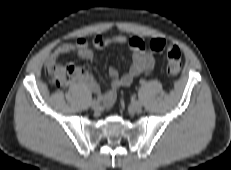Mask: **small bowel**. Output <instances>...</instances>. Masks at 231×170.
<instances>
[{"instance_id":"obj_1","label":"small bowel","mask_w":231,"mask_h":170,"mask_svg":"<svg viewBox=\"0 0 231 170\" xmlns=\"http://www.w3.org/2000/svg\"><path fill=\"white\" fill-rule=\"evenodd\" d=\"M112 44L126 46L130 52L132 63L125 73L119 74L116 68H109L110 84L106 90H103L95 78L87 72H84L81 77L76 79L77 82L83 84L91 92L101 96L106 106H111L115 101L116 90L119 87L131 85L137 76L152 70L155 66V57L152 52L146 49L145 42L141 38H127L123 35L111 37L96 35L92 40V47H90L87 40L80 37L74 44L65 43L58 46L47 57L46 66L55 64L65 54H71L84 60L96 61V51Z\"/></svg>"}]
</instances>
